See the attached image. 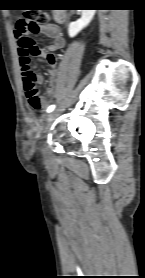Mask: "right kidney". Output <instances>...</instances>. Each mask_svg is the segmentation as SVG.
<instances>
[{
	"instance_id": "right-kidney-1",
	"label": "right kidney",
	"mask_w": 145,
	"mask_h": 278,
	"mask_svg": "<svg viewBox=\"0 0 145 278\" xmlns=\"http://www.w3.org/2000/svg\"><path fill=\"white\" fill-rule=\"evenodd\" d=\"M96 10H82L81 18L71 22L68 26V34L70 37L76 36L83 28H85L93 19Z\"/></svg>"
}]
</instances>
